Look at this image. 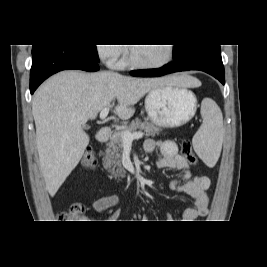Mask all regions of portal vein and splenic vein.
Returning a JSON list of instances; mask_svg holds the SVG:
<instances>
[{"label":"portal vein and splenic vein","mask_w":267,"mask_h":267,"mask_svg":"<svg viewBox=\"0 0 267 267\" xmlns=\"http://www.w3.org/2000/svg\"><path fill=\"white\" fill-rule=\"evenodd\" d=\"M108 113H109V108H104L100 113V119L105 120ZM121 137H122L124 143H131L134 139L142 138L143 133H141V132L131 133V132L126 131V132H123L121 134Z\"/></svg>","instance_id":"18ae733b"}]
</instances>
